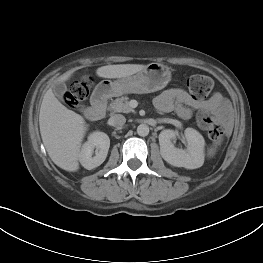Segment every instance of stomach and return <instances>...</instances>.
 Returning a JSON list of instances; mask_svg holds the SVG:
<instances>
[{"label":"stomach","instance_id":"1","mask_svg":"<svg viewBox=\"0 0 263 263\" xmlns=\"http://www.w3.org/2000/svg\"><path fill=\"white\" fill-rule=\"evenodd\" d=\"M171 80V72L166 65L150 63L135 75L111 81L102 80L95 88L97 97L109 98L128 93L146 94L163 89Z\"/></svg>","mask_w":263,"mask_h":263}]
</instances>
